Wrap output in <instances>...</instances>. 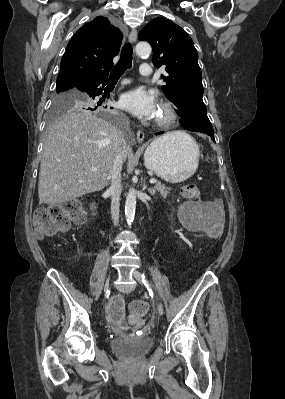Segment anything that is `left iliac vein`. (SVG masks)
Listing matches in <instances>:
<instances>
[{
	"mask_svg": "<svg viewBox=\"0 0 285 399\" xmlns=\"http://www.w3.org/2000/svg\"><path fill=\"white\" fill-rule=\"evenodd\" d=\"M132 275L138 282L143 284L141 274H140V272L138 270L134 269L132 271ZM157 310H158V314L159 315H163L164 314V309H163V307L161 305H158Z\"/></svg>",
	"mask_w": 285,
	"mask_h": 399,
	"instance_id": "obj_1",
	"label": "left iliac vein"
}]
</instances>
